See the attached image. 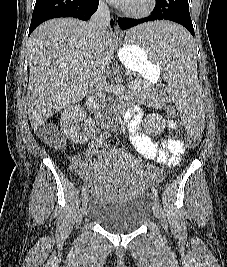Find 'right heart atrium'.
<instances>
[{
	"mask_svg": "<svg viewBox=\"0 0 227 267\" xmlns=\"http://www.w3.org/2000/svg\"><path fill=\"white\" fill-rule=\"evenodd\" d=\"M106 0H99V3L102 7H105L106 6Z\"/></svg>",
	"mask_w": 227,
	"mask_h": 267,
	"instance_id": "right-heart-atrium-1",
	"label": "right heart atrium"
}]
</instances>
